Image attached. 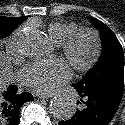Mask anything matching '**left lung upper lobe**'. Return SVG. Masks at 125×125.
Instances as JSON below:
<instances>
[{
    "instance_id": "5c2ea615",
    "label": "left lung upper lobe",
    "mask_w": 125,
    "mask_h": 125,
    "mask_svg": "<svg viewBox=\"0 0 125 125\" xmlns=\"http://www.w3.org/2000/svg\"><path fill=\"white\" fill-rule=\"evenodd\" d=\"M93 21L102 37L103 52L97 65L75 85L84 93L116 86L124 87L123 48L107 25L96 19Z\"/></svg>"
}]
</instances>
